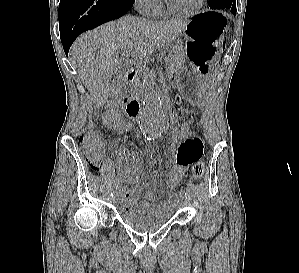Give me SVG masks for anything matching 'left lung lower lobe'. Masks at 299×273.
I'll list each match as a JSON object with an SVG mask.
<instances>
[{"instance_id":"1","label":"left lung lower lobe","mask_w":299,"mask_h":273,"mask_svg":"<svg viewBox=\"0 0 299 273\" xmlns=\"http://www.w3.org/2000/svg\"><path fill=\"white\" fill-rule=\"evenodd\" d=\"M211 9H228L231 13L236 14L235 0H208Z\"/></svg>"}]
</instances>
